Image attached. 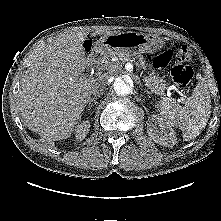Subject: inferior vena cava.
<instances>
[{
	"label": "inferior vena cava",
	"instance_id": "602c4592",
	"mask_svg": "<svg viewBox=\"0 0 221 221\" xmlns=\"http://www.w3.org/2000/svg\"><path fill=\"white\" fill-rule=\"evenodd\" d=\"M107 79H108V77L103 78L94 85V87L92 88V91H91V93L94 96H100L104 93V91L106 90Z\"/></svg>",
	"mask_w": 221,
	"mask_h": 221
}]
</instances>
